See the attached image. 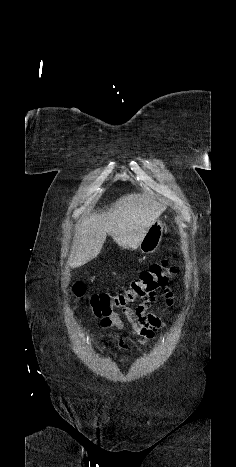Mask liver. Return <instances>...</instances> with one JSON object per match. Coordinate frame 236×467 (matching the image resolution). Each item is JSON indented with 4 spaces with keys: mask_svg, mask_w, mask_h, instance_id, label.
<instances>
[{
    "mask_svg": "<svg viewBox=\"0 0 236 467\" xmlns=\"http://www.w3.org/2000/svg\"><path fill=\"white\" fill-rule=\"evenodd\" d=\"M166 206L146 194H128L106 211L93 212L78 225L68 266L80 267L101 252L107 234L124 249L139 247L148 228Z\"/></svg>",
    "mask_w": 236,
    "mask_h": 467,
    "instance_id": "obj_1",
    "label": "liver"
}]
</instances>
